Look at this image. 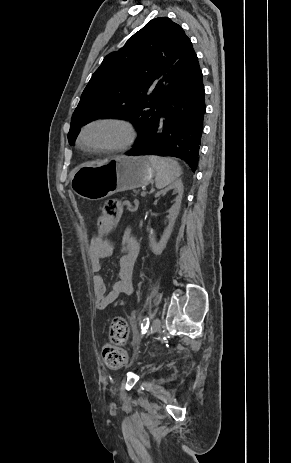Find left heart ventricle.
<instances>
[{
  "label": "left heart ventricle",
  "mask_w": 291,
  "mask_h": 463,
  "mask_svg": "<svg viewBox=\"0 0 291 463\" xmlns=\"http://www.w3.org/2000/svg\"><path fill=\"white\" fill-rule=\"evenodd\" d=\"M123 137L124 133L119 127L114 125H99L87 132L85 142L90 145L114 144L120 142Z\"/></svg>",
  "instance_id": "left-heart-ventricle-1"
}]
</instances>
